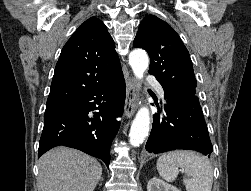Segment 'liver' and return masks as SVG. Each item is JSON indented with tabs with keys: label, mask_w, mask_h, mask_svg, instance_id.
Wrapping results in <instances>:
<instances>
[{
	"label": "liver",
	"mask_w": 251,
	"mask_h": 191,
	"mask_svg": "<svg viewBox=\"0 0 251 191\" xmlns=\"http://www.w3.org/2000/svg\"><path fill=\"white\" fill-rule=\"evenodd\" d=\"M101 175L99 161L78 149L53 147L39 159L41 191H93Z\"/></svg>",
	"instance_id": "liver-1"
}]
</instances>
